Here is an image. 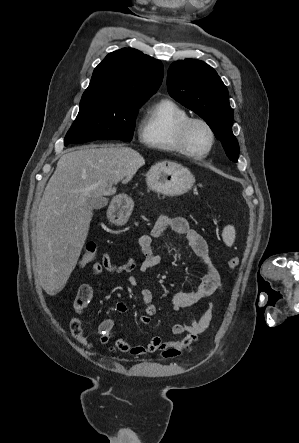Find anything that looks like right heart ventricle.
Segmentation results:
<instances>
[{"label": "right heart ventricle", "mask_w": 299, "mask_h": 443, "mask_svg": "<svg viewBox=\"0 0 299 443\" xmlns=\"http://www.w3.org/2000/svg\"><path fill=\"white\" fill-rule=\"evenodd\" d=\"M188 117V112L171 99L155 102L143 119L141 142L157 151L182 153L177 143V132L180 124Z\"/></svg>", "instance_id": "e07e8e85"}]
</instances>
